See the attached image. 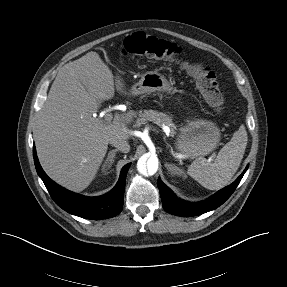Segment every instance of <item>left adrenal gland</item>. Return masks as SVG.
Instances as JSON below:
<instances>
[{"instance_id":"a2214340","label":"left adrenal gland","mask_w":287,"mask_h":287,"mask_svg":"<svg viewBox=\"0 0 287 287\" xmlns=\"http://www.w3.org/2000/svg\"><path fill=\"white\" fill-rule=\"evenodd\" d=\"M165 167L171 175H185L184 171L174 164L165 163Z\"/></svg>"}]
</instances>
